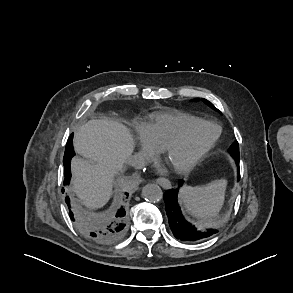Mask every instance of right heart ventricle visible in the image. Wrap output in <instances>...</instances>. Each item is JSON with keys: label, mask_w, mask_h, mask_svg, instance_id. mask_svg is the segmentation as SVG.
Here are the masks:
<instances>
[{"label": "right heart ventricle", "mask_w": 293, "mask_h": 293, "mask_svg": "<svg viewBox=\"0 0 293 293\" xmlns=\"http://www.w3.org/2000/svg\"><path fill=\"white\" fill-rule=\"evenodd\" d=\"M198 117L180 110H168L154 114L142 127V135L157 150L175 140L182 130Z\"/></svg>", "instance_id": "obj_1"}]
</instances>
